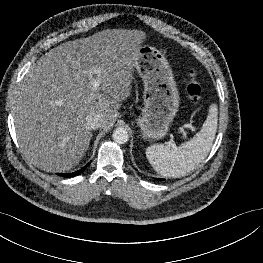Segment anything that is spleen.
I'll list each match as a JSON object with an SVG mask.
<instances>
[{"mask_svg":"<svg viewBox=\"0 0 263 263\" xmlns=\"http://www.w3.org/2000/svg\"><path fill=\"white\" fill-rule=\"evenodd\" d=\"M217 104L209 108L207 119L192 139L179 147L155 144L146 149L153 169L165 177L179 178L192 172L207 157L217 132Z\"/></svg>","mask_w":263,"mask_h":263,"instance_id":"obj_1","label":"spleen"}]
</instances>
